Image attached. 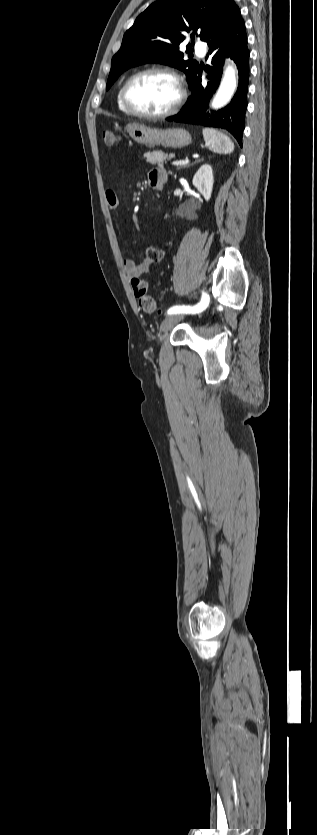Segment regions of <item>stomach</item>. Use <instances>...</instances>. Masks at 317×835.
Segmentation results:
<instances>
[{"mask_svg":"<svg viewBox=\"0 0 317 835\" xmlns=\"http://www.w3.org/2000/svg\"><path fill=\"white\" fill-rule=\"evenodd\" d=\"M125 130L133 141L143 145L182 148L192 141L191 134L182 128L158 129L139 123H130L126 125Z\"/></svg>","mask_w":317,"mask_h":835,"instance_id":"stomach-1","label":"stomach"}]
</instances>
